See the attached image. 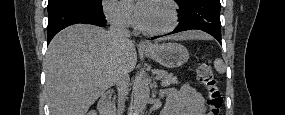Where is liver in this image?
Returning <instances> with one entry per match:
<instances>
[{"label": "liver", "instance_id": "1", "mask_svg": "<svg viewBox=\"0 0 285 115\" xmlns=\"http://www.w3.org/2000/svg\"><path fill=\"white\" fill-rule=\"evenodd\" d=\"M199 31L175 35L177 40L206 38ZM137 63L134 44L115 42L103 28L75 24L59 32L45 56L46 83L52 115H85L107 90L121 65L131 72Z\"/></svg>", "mask_w": 285, "mask_h": 115}]
</instances>
